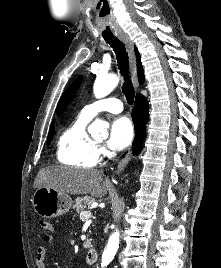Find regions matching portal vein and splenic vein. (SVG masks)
<instances>
[{
    "instance_id": "18ae733b",
    "label": "portal vein and splenic vein",
    "mask_w": 221,
    "mask_h": 268,
    "mask_svg": "<svg viewBox=\"0 0 221 268\" xmlns=\"http://www.w3.org/2000/svg\"><path fill=\"white\" fill-rule=\"evenodd\" d=\"M92 217V213L90 211H82L80 213V219H89Z\"/></svg>"
}]
</instances>
